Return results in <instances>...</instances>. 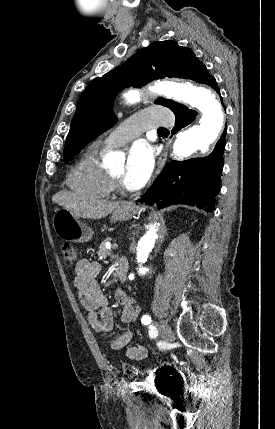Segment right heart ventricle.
<instances>
[{
	"instance_id": "obj_1",
	"label": "right heart ventricle",
	"mask_w": 275,
	"mask_h": 429,
	"mask_svg": "<svg viewBox=\"0 0 275 429\" xmlns=\"http://www.w3.org/2000/svg\"><path fill=\"white\" fill-rule=\"evenodd\" d=\"M100 151V144L92 145L73 167L68 177V185L73 191L95 199L107 198L111 194L108 171L99 159Z\"/></svg>"
}]
</instances>
